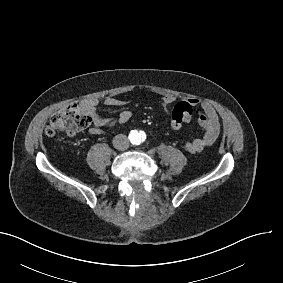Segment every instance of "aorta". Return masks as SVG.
<instances>
[{
	"instance_id": "1",
	"label": "aorta",
	"mask_w": 283,
	"mask_h": 283,
	"mask_svg": "<svg viewBox=\"0 0 283 283\" xmlns=\"http://www.w3.org/2000/svg\"><path fill=\"white\" fill-rule=\"evenodd\" d=\"M146 138V135L143 131H139V130H132L129 133V139L130 142L132 144H140L141 142H143Z\"/></svg>"
}]
</instances>
